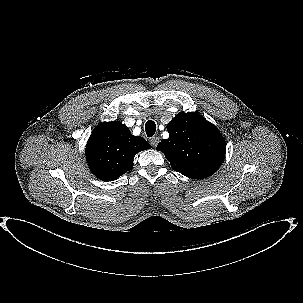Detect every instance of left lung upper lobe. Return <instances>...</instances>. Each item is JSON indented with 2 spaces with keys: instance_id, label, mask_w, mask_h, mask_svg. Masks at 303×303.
<instances>
[{
  "instance_id": "5c2ea615",
  "label": "left lung upper lobe",
  "mask_w": 303,
  "mask_h": 303,
  "mask_svg": "<svg viewBox=\"0 0 303 303\" xmlns=\"http://www.w3.org/2000/svg\"><path fill=\"white\" fill-rule=\"evenodd\" d=\"M169 138L157 145L173 170L191 179H203L222 165L226 143L219 130L201 115L179 113L167 124Z\"/></svg>"
}]
</instances>
